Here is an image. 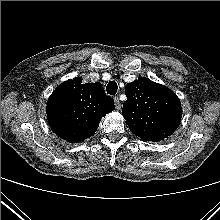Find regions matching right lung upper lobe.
Here are the masks:
<instances>
[{"label":"right lung upper lobe","instance_id":"cb5924a9","mask_svg":"<svg viewBox=\"0 0 220 220\" xmlns=\"http://www.w3.org/2000/svg\"><path fill=\"white\" fill-rule=\"evenodd\" d=\"M114 109V101L105 94L101 83L82 84V78L76 77L53 91L46 114L52 130L73 143L91 137L101 118Z\"/></svg>","mask_w":220,"mask_h":220}]
</instances>
